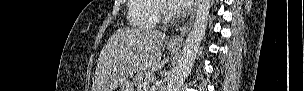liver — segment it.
I'll return each instance as SVG.
<instances>
[{
  "mask_svg": "<svg viewBox=\"0 0 304 91\" xmlns=\"http://www.w3.org/2000/svg\"><path fill=\"white\" fill-rule=\"evenodd\" d=\"M166 35L145 28H121L102 48L92 91H115L128 76L161 69V48Z\"/></svg>",
  "mask_w": 304,
  "mask_h": 91,
  "instance_id": "liver-1",
  "label": "liver"
}]
</instances>
